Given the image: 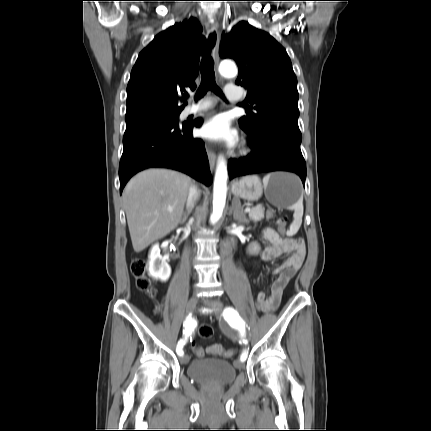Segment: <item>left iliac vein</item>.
<instances>
[{
  "label": "left iliac vein",
  "mask_w": 431,
  "mask_h": 431,
  "mask_svg": "<svg viewBox=\"0 0 431 431\" xmlns=\"http://www.w3.org/2000/svg\"><path fill=\"white\" fill-rule=\"evenodd\" d=\"M203 302L208 306L212 307L217 315V317L221 316L223 310V304L218 299H203ZM235 366L239 369L244 367V363L241 360L235 361Z\"/></svg>",
  "instance_id": "1"
}]
</instances>
